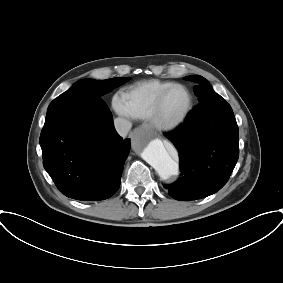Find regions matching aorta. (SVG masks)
Listing matches in <instances>:
<instances>
[{"mask_svg":"<svg viewBox=\"0 0 283 283\" xmlns=\"http://www.w3.org/2000/svg\"><path fill=\"white\" fill-rule=\"evenodd\" d=\"M143 159L150 164L158 175L166 180L173 175H178V163L170 156L160 139H152L141 146ZM175 151L174 148H172Z\"/></svg>","mask_w":283,"mask_h":283,"instance_id":"aorta-1","label":"aorta"}]
</instances>
